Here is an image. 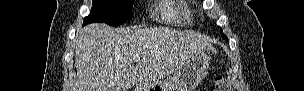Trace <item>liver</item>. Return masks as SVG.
<instances>
[{
    "label": "liver",
    "instance_id": "6515ba94",
    "mask_svg": "<svg viewBox=\"0 0 304 91\" xmlns=\"http://www.w3.org/2000/svg\"><path fill=\"white\" fill-rule=\"evenodd\" d=\"M199 51L215 49L191 31L90 24L77 35L71 91H127L138 82H159ZM135 56L140 61L134 66Z\"/></svg>",
    "mask_w": 304,
    "mask_h": 91
}]
</instances>
